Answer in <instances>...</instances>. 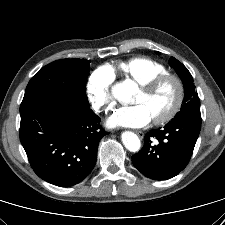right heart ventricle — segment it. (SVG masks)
Instances as JSON below:
<instances>
[{
	"instance_id": "e07e8e85",
	"label": "right heart ventricle",
	"mask_w": 225,
	"mask_h": 225,
	"mask_svg": "<svg viewBox=\"0 0 225 225\" xmlns=\"http://www.w3.org/2000/svg\"><path fill=\"white\" fill-rule=\"evenodd\" d=\"M117 68L128 78L138 84L164 74L167 69L161 63L144 56L133 57L118 63Z\"/></svg>"
}]
</instances>
